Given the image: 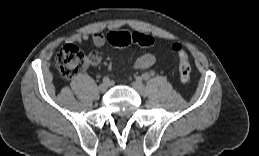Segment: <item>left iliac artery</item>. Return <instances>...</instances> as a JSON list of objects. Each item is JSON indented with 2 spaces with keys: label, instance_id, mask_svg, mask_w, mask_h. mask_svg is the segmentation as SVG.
I'll use <instances>...</instances> for the list:
<instances>
[{
  "label": "left iliac artery",
  "instance_id": "44dca946",
  "mask_svg": "<svg viewBox=\"0 0 259 156\" xmlns=\"http://www.w3.org/2000/svg\"><path fill=\"white\" fill-rule=\"evenodd\" d=\"M149 74L148 73H144V74H142V79L143 80H148L149 79Z\"/></svg>",
  "mask_w": 259,
  "mask_h": 156
}]
</instances>
